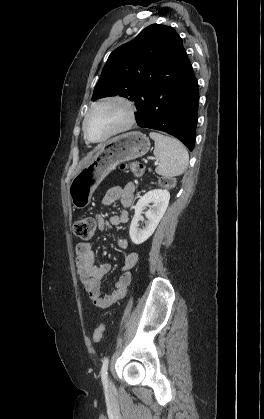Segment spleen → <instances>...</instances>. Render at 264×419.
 <instances>
[{"mask_svg":"<svg viewBox=\"0 0 264 419\" xmlns=\"http://www.w3.org/2000/svg\"><path fill=\"white\" fill-rule=\"evenodd\" d=\"M155 141L154 156L159 160L155 171L164 177L183 174L188 166L189 155L185 146L176 138L150 132Z\"/></svg>","mask_w":264,"mask_h":419,"instance_id":"1","label":"spleen"}]
</instances>
